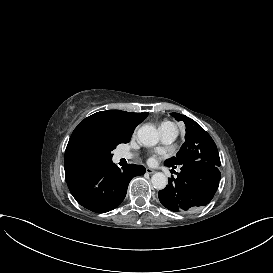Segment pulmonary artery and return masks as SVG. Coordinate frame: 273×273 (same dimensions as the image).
I'll use <instances>...</instances> for the list:
<instances>
[{"label": "pulmonary artery", "instance_id": "obj_1", "mask_svg": "<svg viewBox=\"0 0 273 273\" xmlns=\"http://www.w3.org/2000/svg\"><path fill=\"white\" fill-rule=\"evenodd\" d=\"M160 131L162 133V140L164 143L170 144L175 141L177 137V127L174 123L169 122L162 125ZM122 157L128 159L131 158L132 155L128 153H123Z\"/></svg>", "mask_w": 273, "mask_h": 273}]
</instances>
